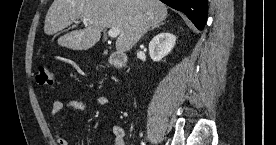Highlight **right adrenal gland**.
<instances>
[{"label":"right adrenal gland","mask_w":276,"mask_h":145,"mask_svg":"<svg viewBox=\"0 0 276 145\" xmlns=\"http://www.w3.org/2000/svg\"><path fill=\"white\" fill-rule=\"evenodd\" d=\"M164 24V22L163 23H160V24H158V25H155V26H153L149 31H151V30H154L155 28H159L161 25H163Z\"/></svg>","instance_id":"2a0ac1e0"}]
</instances>
